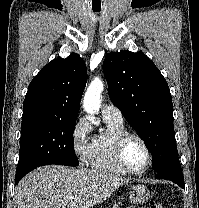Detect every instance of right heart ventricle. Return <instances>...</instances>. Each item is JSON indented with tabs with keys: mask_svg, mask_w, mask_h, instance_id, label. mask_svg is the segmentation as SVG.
<instances>
[{
	"mask_svg": "<svg viewBox=\"0 0 199 208\" xmlns=\"http://www.w3.org/2000/svg\"><path fill=\"white\" fill-rule=\"evenodd\" d=\"M106 123L105 132L97 135L92 141V151L89 158L91 168L112 172L117 174H126L116 162L114 157V145L117 138L127 131L123 122H116L111 119L103 118Z\"/></svg>",
	"mask_w": 199,
	"mask_h": 208,
	"instance_id": "1",
	"label": "right heart ventricle"
}]
</instances>
